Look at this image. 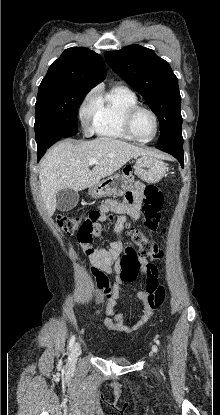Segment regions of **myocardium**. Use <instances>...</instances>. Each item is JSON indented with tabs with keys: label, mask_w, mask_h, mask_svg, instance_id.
Masks as SVG:
<instances>
[{
	"label": "myocardium",
	"mask_w": 220,
	"mask_h": 415,
	"mask_svg": "<svg viewBox=\"0 0 220 415\" xmlns=\"http://www.w3.org/2000/svg\"><path fill=\"white\" fill-rule=\"evenodd\" d=\"M138 111H146L154 119L155 132H154L153 136L151 138H149V139H146V140L139 139L134 134V131H133V128H132V122H133V118H134L135 114ZM124 127H125V130H126L127 134L132 138V140H135L136 142H139V143H142V144H146V143L151 142L152 140H154L157 137V135L159 133V119H158V116L156 115V113L152 109H150V108H148L146 106H142V105H138L137 104V105H134V106L130 107L126 111L125 117H124Z\"/></svg>",
	"instance_id": "1"
}]
</instances>
